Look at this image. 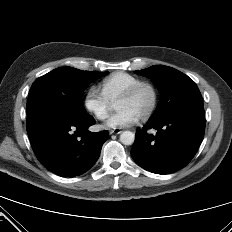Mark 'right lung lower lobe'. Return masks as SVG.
I'll use <instances>...</instances> for the list:
<instances>
[{
  "mask_svg": "<svg viewBox=\"0 0 232 232\" xmlns=\"http://www.w3.org/2000/svg\"><path fill=\"white\" fill-rule=\"evenodd\" d=\"M95 120L88 114L74 115L52 110L28 114L27 132L43 166L62 177L85 173L97 161L107 130L91 133Z\"/></svg>",
  "mask_w": 232,
  "mask_h": 232,
  "instance_id": "98d812e1",
  "label": "right lung lower lobe"
}]
</instances>
